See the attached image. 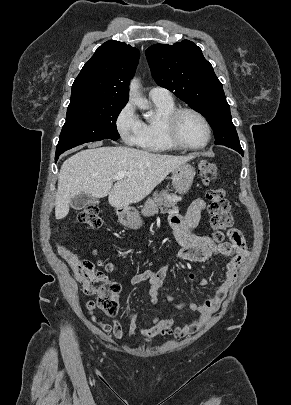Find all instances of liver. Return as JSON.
<instances>
[{"instance_id":"liver-1","label":"liver","mask_w":291,"mask_h":405,"mask_svg":"<svg viewBox=\"0 0 291 405\" xmlns=\"http://www.w3.org/2000/svg\"><path fill=\"white\" fill-rule=\"evenodd\" d=\"M192 157L154 154L123 146L82 150L68 158L58 175L56 219L69 213L71 200L80 193L95 198L108 195L109 204L126 208L148 196L167 175ZM128 175L114 185L118 172Z\"/></svg>"}]
</instances>
